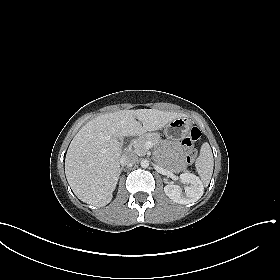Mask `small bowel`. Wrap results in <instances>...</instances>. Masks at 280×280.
I'll list each match as a JSON object with an SVG mask.
<instances>
[{"label": "small bowel", "instance_id": "c3829d8e", "mask_svg": "<svg viewBox=\"0 0 280 280\" xmlns=\"http://www.w3.org/2000/svg\"><path fill=\"white\" fill-rule=\"evenodd\" d=\"M176 151H177V152H180L181 150H180L179 148L176 147ZM178 167H179V165H178Z\"/></svg>", "mask_w": 280, "mask_h": 280}]
</instances>
